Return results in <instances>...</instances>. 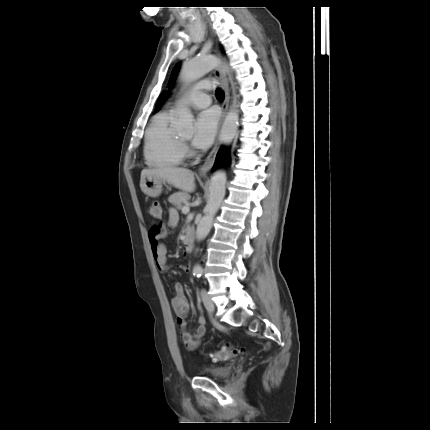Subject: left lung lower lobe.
<instances>
[{
	"mask_svg": "<svg viewBox=\"0 0 430 430\" xmlns=\"http://www.w3.org/2000/svg\"><path fill=\"white\" fill-rule=\"evenodd\" d=\"M228 157H229V153H228L227 149L225 147L220 148V150L216 156L214 169L223 166L227 162Z\"/></svg>",
	"mask_w": 430,
	"mask_h": 430,
	"instance_id": "0a47b994",
	"label": "left lung lower lobe"
}]
</instances>
